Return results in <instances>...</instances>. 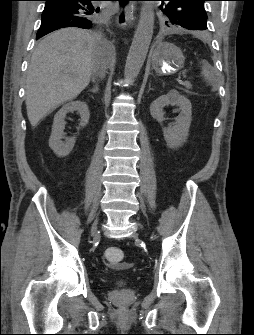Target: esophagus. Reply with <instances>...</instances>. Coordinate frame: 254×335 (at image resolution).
<instances>
[{
    "mask_svg": "<svg viewBox=\"0 0 254 335\" xmlns=\"http://www.w3.org/2000/svg\"><path fill=\"white\" fill-rule=\"evenodd\" d=\"M135 7L133 4L121 5V8L117 15V23L120 27L126 28L131 26L136 20L134 15Z\"/></svg>",
    "mask_w": 254,
    "mask_h": 335,
    "instance_id": "obj_1",
    "label": "esophagus"
}]
</instances>
